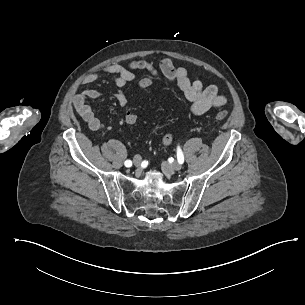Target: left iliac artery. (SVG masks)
Segmentation results:
<instances>
[{
    "instance_id": "obj_1",
    "label": "left iliac artery",
    "mask_w": 305,
    "mask_h": 305,
    "mask_svg": "<svg viewBox=\"0 0 305 305\" xmlns=\"http://www.w3.org/2000/svg\"><path fill=\"white\" fill-rule=\"evenodd\" d=\"M177 159H178V162L181 163V164L184 162V156H183V153H182V151L179 147L177 149Z\"/></svg>"
}]
</instances>
